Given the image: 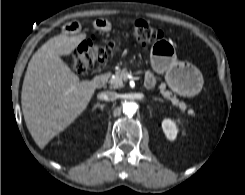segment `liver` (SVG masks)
I'll return each instance as SVG.
<instances>
[{
    "mask_svg": "<svg viewBox=\"0 0 245 195\" xmlns=\"http://www.w3.org/2000/svg\"><path fill=\"white\" fill-rule=\"evenodd\" d=\"M86 34L55 36L32 56L23 81L21 105L26 126L43 149L81 115L96 87L79 81L61 56L71 54Z\"/></svg>",
    "mask_w": 245,
    "mask_h": 195,
    "instance_id": "liver-1",
    "label": "liver"
}]
</instances>
